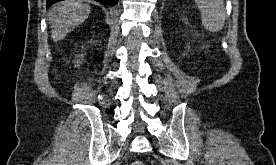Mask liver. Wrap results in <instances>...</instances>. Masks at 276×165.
<instances>
[{
    "label": "liver",
    "mask_w": 276,
    "mask_h": 165,
    "mask_svg": "<svg viewBox=\"0 0 276 165\" xmlns=\"http://www.w3.org/2000/svg\"><path fill=\"white\" fill-rule=\"evenodd\" d=\"M90 14V6L75 0L56 3L48 14L51 37L54 42L63 39L75 27L82 24Z\"/></svg>",
    "instance_id": "obj_1"
}]
</instances>
